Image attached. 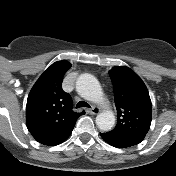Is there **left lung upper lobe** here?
<instances>
[{
  "label": "left lung upper lobe",
  "instance_id": "obj_1",
  "mask_svg": "<svg viewBox=\"0 0 176 176\" xmlns=\"http://www.w3.org/2000/svg\"><path fill=\"white\" fill-rule=\"evenodd\" d=\"M118 122L111 134L130 144H138L151 124L152 105L146 86L127 67H115L110 72Z\"/></svg>",
  "mask_w": 176,
  "mask_h": 176
}]
</instances>
